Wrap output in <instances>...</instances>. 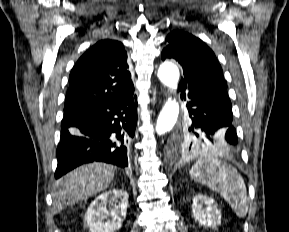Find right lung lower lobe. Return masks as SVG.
Wrapping results in <instances>:
<instances>
[{
	"mask_svg": "<svg viewBox=\"0 0 289 232\" xmlns=\"http://www.w3.org/2000/svg\"><path fill=\"white\" fill-rule=\"evenodd\" d=\"M133 93L65 112L56 151V179L93 161L128 166L127 151L137 124V99Z\"/></svg>",
	"mask_w": 289,
	"mask_h": 232,
	"instance_id": "obj_1",
	"label": "right lung lower lobe"
}]
</instances>
